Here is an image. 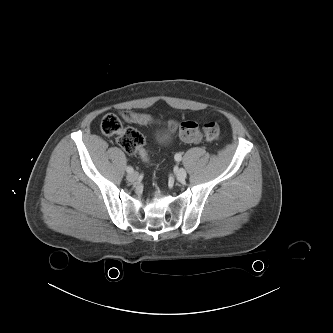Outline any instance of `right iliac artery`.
<instances>
[{
	"label": "right iliac artery",
	"mask_w": 333,
	"mask_h": 333,
	"mask_svg": "<svg viewBox=\"0 0 333 333\" xmlns=\"http://www.w3.org/2000/svg\"><path fill=\"white\" fill-rule=\"evenodd\" d=\"M126 171H127L128 173H132V172L134 171V169H133L131 166H128V167L126 168Z\"/></svg>",
	"instance_id": "82829eb1"
}]
</instances>
